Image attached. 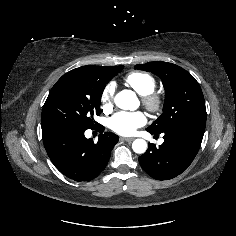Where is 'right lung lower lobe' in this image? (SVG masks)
<instances>
[{
    "instance_id": "1",
    "label": "right lung lower lobe",
    "mask_w": 236,
    "mask_h": 236,
    "mask_svg": "<svg viewBox=\"0 0 236 236\" xmlns=\"http://www.w3.org/2000/svg\"><path fill=\"white\" fill-rule=\"evenodd\" d=\"M103 128L104 127L100 126ZM85 130H69L43 139L46 152L55 167L74 181H90L106 167L119 137L100 134L98 142L84 136Z\"/></svg>"
}]
</instances>
